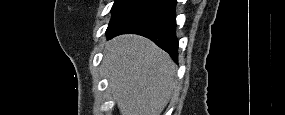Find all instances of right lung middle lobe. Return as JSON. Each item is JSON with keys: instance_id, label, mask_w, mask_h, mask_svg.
<instances>
[{"instance_id": "1", "label": "right lung middle lobe", "mask_w": 285, "mask_h": 115, "mask_svg": "<svg viewBox=\"0 0 285 115\" xmlns=\"http://www.w3.org/2000/svg\"><path fill=\"white\" fill-rule=\"evenodd\" d=\"M156 1L157 0H115L111 10L112 18L106 34H109L129 17L145 9Z\"/></svg>"}]
</instances>
